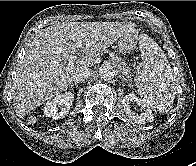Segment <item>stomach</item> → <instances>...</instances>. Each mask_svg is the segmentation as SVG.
<instances>
[{"label": "stomach", "instance_id": "0dacf381", "mask_svg": "<svg viewBox=\"0 0 196 166\" xmlns=\"http://www.w3.org/2000/svg\"><path fill=\"white\" fill-rule=\"evenodd\" d=\"M138 39L136 30L127 32L118 40L119 50L123 53H130L135 49L136 41Z\"/></svg>", "mask_w": 196, "mask_h": 166}]
</instances>
